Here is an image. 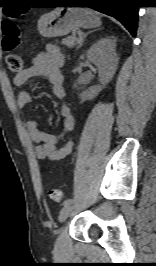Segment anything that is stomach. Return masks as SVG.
Listing matches in <instances>:
<instances>
[{
  "instance_id": "obj_1",
  "label": "stomach",
  "mask_w": 156,
  "mask_h": 266,
  "mask_svg": "<svg viewBox=\"0 0 156 266\" xmlns=\"http://www.w3.org/2000/svg\"><path fill=\"white\" fill-rule=\"evenodd\" d=\"M101 25L98 14L88 8L59 7L44 14L38 21V31L45 38L68 35L76 28Z\"/></svg>"
}]
</instances>
